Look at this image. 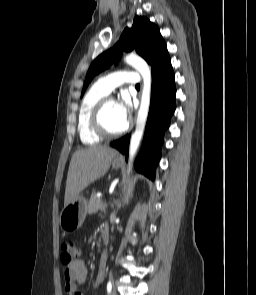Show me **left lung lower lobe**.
<instances>
[{"mask_svg":"<svg viewBox=\"0 0 256 295\" xmlns=\"http://www.w3.org/2000/svg\"><path fill=\"white\" fill-rule=\"evenodd\" d=\"M174 72L168 64L152 73L151 104L145 130L144 144L136 161V170L154 179L160 160V149L165 130L175 111ZM111 146L126 154L128 159L129 136L111 143Z\"/></svg>","mask_w":256,"mask_h":295,"instance_id":"obj_1","label":"left lung lower lobe"}]
</instances>
